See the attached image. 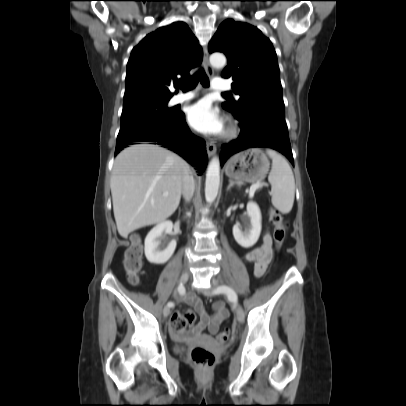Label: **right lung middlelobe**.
Wrapping results in <instances>:
<instances>
[{
    "label": "right lung middle lobe",
    "instance_id": "dd1d6c3e",
    "mask_svg": "<svg viewBox=\"0 0 406 406\" xmlns=\"http://www.w3.org/2000/svg\"><path fill=\"white\" fill-rule=\"evenodd\" d=\"M169 99L143 100L123 107L118 136L155 129L169 123L176 111L167 107Z\"/></svg>",
    "mask_w": 406,
    "mask_h": 406
}]
</instances>
